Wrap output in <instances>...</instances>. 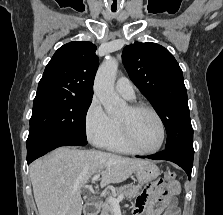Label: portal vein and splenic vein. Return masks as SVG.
Masks as SVG:
<instances>
[{
    "label": "portal vein and splenic vein",
    "mask_w": 223,
    "mask_h": 215,
    "mask_svg": "<svg viewBox=\"0 0 223 215\" xmlns=\"http://www.w3.org/2000/svg\"><path fill=\"white\" fill-rule=\"evenodd\" d=\"M100 177V173H96V175H93L91 181L92 183H95V181H97V179H99ZM121 197H124V193L123 194H119V197H108L107 201H110L112 207H117V209H120V205H119V201H121Z\"/></svg>",
    "instance_id": "1"
}]
</instances>
